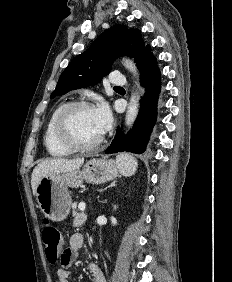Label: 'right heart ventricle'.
<instances>
[{"label": "right heart ventricle", "instance_id": "1", "mask_svg": "<svg viewBox=\"0 0 232 282\" xmlns=\"http://www.w3.org/2000/svg\"><path fill=\"white\" fill-rule=\"evenodd\" d=\"M65 104L58 105L49 117L44 133V145L49 155L53 157H64L72 151L62 146L55 138L54 124L56 117Z\"/></svg>", "mask_w": 232, "mask_h": 282}]
</instances>
